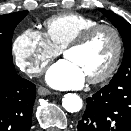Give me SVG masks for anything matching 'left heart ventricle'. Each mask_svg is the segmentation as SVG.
<instances>
[{
    "label": "left heart ventricle",
    "mask_w": 131,
    "mask_h": 131,
    "mask_svg": "<svg viewBox=\"0 0 131 131\" xmlns=\"http://www.w3.org/2000/svg\"><path fill=\"white\" fill-rule=\"evenodd\" d=\"M115 48L113 33L103 29L94 34L83 47L68 51L65 58L74 62L88 79L107 69L113 60Z\"/></svg>",
    "instance_id": "1"
}]
</instances>
